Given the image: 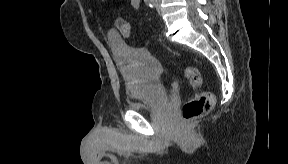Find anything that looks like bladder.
Masks as SVG:
<instances>
[{"label": "bladder", "mask_w": 288, "mask_h": 164, "mask_svg": "<svg viewBox=\"0 0 288 164\" xmlns=\"http://www.w3.org/2000/svg\"><path fill=\"white\" fill-rule=\"evenodd\" d=\"M109 44L122 71L129 94V108L139 113H151L169 102V94L160 80V65L146 51L133 48L120 37L112 35Z\"/></svg>", "instance_id": "obj_1"}]
</instances>
